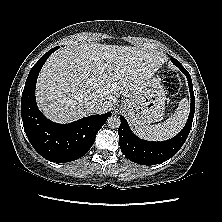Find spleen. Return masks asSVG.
<instances>
[{
	"mask_svg": "<svg viewBox=\"0 0 222 222\" xmlns=\"http://www.w3.org/2000/svg\"><path fill=\"white\" fill-rule=\"evenodd\" d=\"M189 113V101L183 98L175 111L163 123L155 125L135 126V132L142 138L151 141H162L175 136L186 123Z\"/></svg>",
	"mask_w": 222,
	"mask_h": 222,
	"instance_id": "spleen-1",
	"label": "spleen"
}]
</instances>
